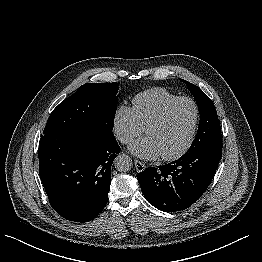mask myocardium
<instances>
[{
    "label": "myocardium",
    "instance_id": "obj_1",
    "mask_svg": "<svg viewBox=\"0 0 262 262\" xmlns=\"http://www.w3.org/2000/svg\"><path fill=\"white\" fill-rule=\"evenodd\" d=\"M182 101H188L194 107L195 114H194L193 125H192L191 131H190V134H189V137L186 143L177 152L171 155H161V158L165 161H173V160L179 159L190 149L191 145L193 144V141L195 139V135L198 129L199 119H200V109H199L197 102L193 98L188 97V96H182V97H178L174 99L173 101L169 102L165 107L162 108V110L158 113V115L147 125L145 129V132L147 133L149 129L162 124L164 120L166 119L170 110L176 104Z\"/></svg>",
    "mask_w": 262,
    "mask_h": 262
}]
</instances>
